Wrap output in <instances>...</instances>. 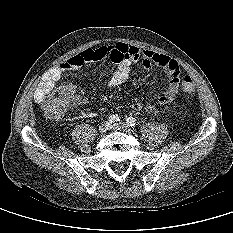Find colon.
Here are the masks:
<instances>
[{"mask_svg": "<svg viewBox=\"0 0 233 233\" xmlns=\"http://www.w3.org/2000/svg\"><path fill=\"white\" fill-rule=\"evenodd\" d=\"M180 88L183 93L191 94L194 91V85L190 76L185 75L180 80ZM74 88L70 85L61 86L53 93L44 97L41 101L46 113L52 117H59L69 101L73 98Z\"/></svg>", "mask_w": 233, "mask_h": 233, "instance_id": "colon-1", "label": "colon"}]
</instances>
